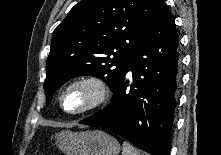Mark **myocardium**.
Returning <instances> with one entry per match:
<instances>
[{
  "instance_id": "1",
  "label": "myocardium",
  "mask_w": 221,
  "mask_h": 155,
  "mask_svg": "<svg viewBox=\"0 0 221 155\" xmlns=\"http://www.w3.org/2000/svg\"><path fill=\"white\" fill-rule=\"evenodd\" d=\"M83 88L89 92V101L77 110H67L64 97L72 89ZM110 90L107 82L96 75H85L69 81L60 91L58 103L60 108L69 115H83L92 112L106 103Z\"/></svg>"
}]
</instances>
